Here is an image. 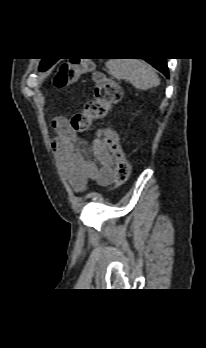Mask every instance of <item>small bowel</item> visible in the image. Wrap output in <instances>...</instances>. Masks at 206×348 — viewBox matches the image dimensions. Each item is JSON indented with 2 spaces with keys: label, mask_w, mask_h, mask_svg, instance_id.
<instances>
[{
  "label": "small bowel",
  "mask_w": 206,
  "mask_h": 348,
  "mask_svg": "<svg viewBox=\"0 0 206 348\" xmlns=\"http://www.w3.org/2000/svg\"><path fill=\"white\" fill-rule=\"evenodd\" d=\"M55 137L52 146L64 178L76 192H83L89 181L110 185L115 181L113 158L100 139L92 142L91 148L97 163L87 159L85 150L77 147V136L65 117L52 122Z\"/></svg>",
  "instance_id": "1"
}]
</instances>
